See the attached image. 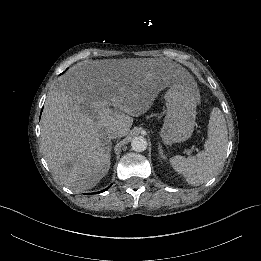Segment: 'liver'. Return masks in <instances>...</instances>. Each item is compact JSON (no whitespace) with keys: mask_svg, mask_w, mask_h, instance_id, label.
Returning <instances> with one entry per match:
<instances>
[{"mask_svg":"<svg viewBox=\"0 0 261 261\" xmlns=\"http://www.w3.org/2000/svg\"><path fill=\"white\" fill-rule=\"evenodd\" d=\"M173 85L195 86L183 69L161 76L157 65L94 61L71 68L49 92L40 124L53 177L78 192L95 187L111 166L108 132L116 128L126 137L133 117L145 114Z\"/></svg>","mask_w":261,"mask_h":261,"instance_id":"1","label":"liver"}]
</instances>
